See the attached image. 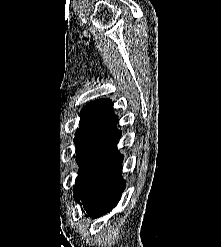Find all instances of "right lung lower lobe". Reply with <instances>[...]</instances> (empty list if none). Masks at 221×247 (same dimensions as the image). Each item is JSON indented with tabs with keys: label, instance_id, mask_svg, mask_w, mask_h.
Listing matches in <instances>:
<instances>
[{
	"label": "right lung lower lobe",
	"instance_id": "right-lung-lower-lobe-1",
	"mask_svg": "<svg viewBox=\"0 0 221 247\" xmlns=\"http://www.w3.org/2000/svg\"><path fill=\"white\" fill-rule=\"evenodd\" d=\"M117 122L80 131L74 139L80 166L74 193L92 219L112 210L126 186L121 177L123 155L116 147L121 136Z\"/></svg>",
	"mask_w": 221,
	"mask_h": 247
}]
</instances>
